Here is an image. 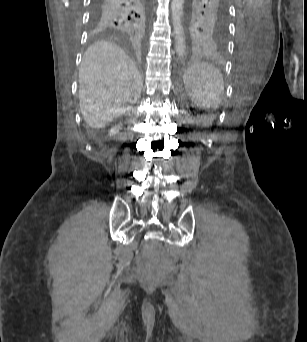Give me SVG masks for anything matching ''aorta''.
I'll return each mask as SVG.
<instances>
[{
  "label": "aorta",
  "mask_w": 307,
  "mask_h": 342,
  "mask_svg": "<svg viewBox=\"0 0 307 342\" xmlns=\"http://www.w3.org/2000/svg\"><path fill=\"white\" fill-rule=\"evenodd\" d=\"M183 4L184 0H172L171 2L172 22L176 40V52L179 58L185 54L186 50L182 28Z\"/></svg>",
  "instance_id": "762f6f07"
}]
</instances>
